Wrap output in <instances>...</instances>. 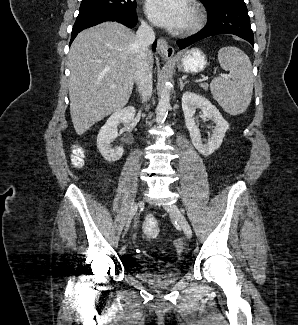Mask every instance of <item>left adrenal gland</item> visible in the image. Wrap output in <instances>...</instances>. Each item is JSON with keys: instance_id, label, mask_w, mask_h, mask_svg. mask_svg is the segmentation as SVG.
<instances>
[{"instance_id": "a2214340", "label": "left adrenal gland", "mask_w": 298, "mask_h": 325, "mask_svg": "<svg viewBox=\"0 0 298 325\" xmlns=\"http://www.w3.org/2000/svg\"><path fill=\"white\" fill-rule=\"evenodd\" d=\"M188 80H183V78H179L180 90H183L185 84H187Z\"/></svg>"}]
</instances>
